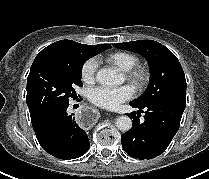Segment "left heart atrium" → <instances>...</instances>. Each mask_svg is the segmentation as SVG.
Returning a JSON list of instances; mask_svg holds the SVG:
<instances>
[{
    "label": "left heart atrium",
    "mask_w": 209,
    "mask_h": 179,
    "mask_svg": "<svg viewBox=\"0 0 209 179\" xmlns=\"http://www.w3.org/2000/svg\"><path fill=\"white\" fill-rule=\"evenodd\" d=\"M134 94L130 85L120 87H97L89 92V100L104 109L114 110Z\"/></svg>",
    "instance_id": "left-heart-atrium-1"
}]
</instances>
